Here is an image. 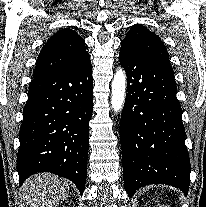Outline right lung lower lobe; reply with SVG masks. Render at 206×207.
<instances>
[{
  "instance_id": "right-lung-lower-lobe-1",
  "label": "right lung lower lobe",
  "mask_w": 206,
  "mask_h": 207,
  "mask_svg": "<svg viewBox=\"0 0 206 207\" xmlns=\"http://www.w3.org/2000/svg\"><path fill=\"white\" fill-rule=\"evenodd\" d=\"M90 57L60 74L33 78L20 127V185L32 174L51 172L85 189L92 116Z\"/></svg>"
}]
</instances>
